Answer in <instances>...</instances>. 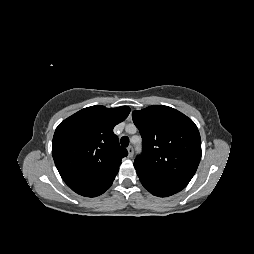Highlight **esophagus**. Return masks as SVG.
Here are the masks:
<instances>
[{"label":"esophagus","mask_w":254,"mask_h":254,"mask_svg":"<svg viewBox=\"0 0 254 254\" xmlns=\"http://www.w3.org/2000/svg\"><path fill=\"white\" fill-rule=\"evenodd\" d=\"M127 150H128V156H129L130 158H132L133 155H134V149H133V147H132V146H129V147L127 148Z\"/></svg>","instance_id":"34e87169"}]
</instances>
